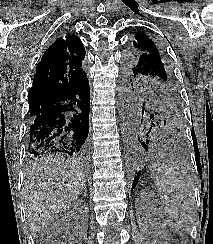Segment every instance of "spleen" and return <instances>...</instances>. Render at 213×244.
Segmentation results:
<instances>
[{"instance_id": "1", "label": "spleen", "mask_w": 213, "mask_h": 244, "mask_svg": "<svg viewBox=\"0 0 213 244\" xmlns=\"http://www.w3.org/2000/svg\"><path fill=\"white\" fill-rule=\"evenodd\" d=\"M151 167L166 223L173 233L182 236L190 228L195 209L191 177L181 162L171 155L157 156Z\"/></svg>"}]
</instances>
